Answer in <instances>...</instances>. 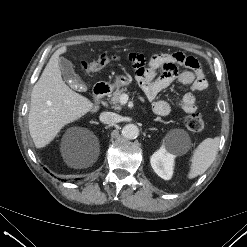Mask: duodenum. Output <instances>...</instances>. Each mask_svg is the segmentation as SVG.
<instances>
[{
	"label": "duodenum",
	"mask_w": 247,
	"mask_h": 247,
	"mask_svg": "<svg viewBox=\"0 0 247 247\" xmlns=\"http://www.w3.org/2000/svg\"><path fill=\"white\" fill-rule=\"evenodd\" d=\"M111 91V86L105 83L97 84L93 89V95L96 103H99Z\"/></svg>",
	"instance_id": "1"
}]
</instances>
